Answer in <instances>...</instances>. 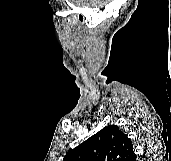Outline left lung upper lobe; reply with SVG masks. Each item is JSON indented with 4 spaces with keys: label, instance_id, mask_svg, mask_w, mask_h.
I'll list each match as a JSON object with an SVG mask.
<instances>
[{
    "label": "left lung upper lobe",
    "instance_id": "1",
    "mask_svg": "<svg viewBox=\"0 0 171 161\" xmlns=\"http://www.w3.org/2000/svg\"><path fill=\"white\" fill-rule=\"evenodd\" d=\"M134 156L131 140L111 125L68 151L63 161H131Z\"/></svg>",
    "mask_w": 171,
    "mask_h": 161
}]
</instances>
